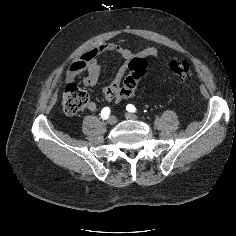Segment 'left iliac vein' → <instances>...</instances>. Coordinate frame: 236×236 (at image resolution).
I'll return each instance as SVG.
<instances>
[{
    "label": "left iliac vein",
    "instance_id": "left-iliac-vein-1",
    "mask_svg": "<svg viewBox=\"0 0 236 236\" xmlns=\"http://www.w3.org/2000/svg\"><path fill=\"white\" fill-rule=\"evenodd\" d=\"M126 118L127 119H132V120H136L137 119V116L135 114H132V113H126L125 114Z\"/></svg>",
    "mask_w": 236,
    "mask_h": 236
}]
</instances>
